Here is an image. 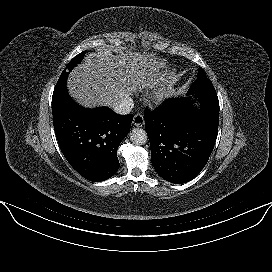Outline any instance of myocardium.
Listing matches in <instances>:
<instances>
[{
  "instance_id": "f54148a6",
  "label": "myocardium",
  "mask_w": 272,
  "mask_h": 272,
  "mask_svg": "<svg viewBox=\"0 0 272 272\" xmlns=\"http://www.w3.org/2000/svg\"><path fill=\"white\" fill-rule=\"evenodd\" d=\"M170 97V81H167L161 87L154 91L152 99L157 104L165 103Z\"/></svg>"
}]
</instances>
